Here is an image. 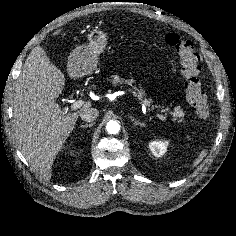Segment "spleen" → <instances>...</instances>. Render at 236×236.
Returning a JSON list of instances; mask_svg holds the SVG:
<instances>
[{"instance_id": "3e777b00", "label": "spleen", "mask_w": 236, "mask_h": 236, "mask_svg": "<svg viewBox=\"0 0 236 236\" xmlns=\"http://www.w3.org/2000/svg\"><path fill=\"white\" fill-rule=\"evenodd\" d=\"M207 152L205 150L201 151L197 160L195 161V165L198 164L205 156H206Z\"/></svg>"}]
</instances>
